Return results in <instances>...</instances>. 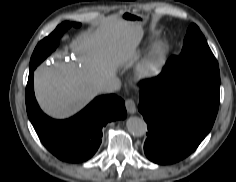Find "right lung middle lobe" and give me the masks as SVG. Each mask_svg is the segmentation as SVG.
Wrapping results in <instances>:
<instances>
[{
	"label": "right lung middle lobe",
	"mask_w": 236,
	"mask_h": 182,
	"mask_svg": "<svg viewBox=\"0 0 236 182\" xmlns=\"http://www.w3.org/2000/svg\"><path fill=\"white\" fill-rule=\"evenodd\" d=\"M71 26L79 27L80 23L63 22L57 26V28L49 36L38 43L30 60V68H36L56 49L59 44L60 37Z\"/></svg>",
	"instance_id": "1"
}]
</instances>
